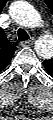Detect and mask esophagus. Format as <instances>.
Masks as SVG:
<instances>
[{
    "mask_svg": "<svg viewBox=\"0 0 53 120\" xmlns=\"http://www.w3.org/2000/svg\"><path fill=\"white\" fill-rule=\"evenodd\" d=\"M34 42V39H31V40H28V41H25L22 43V46H29V45H32Z\"/></svg>",
    "mask_w": 53,
    "mask_h": 120,
    "instance_id": "esophagus-1",
    "label": "esophagus"
}]
</instances>
